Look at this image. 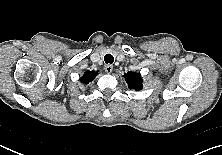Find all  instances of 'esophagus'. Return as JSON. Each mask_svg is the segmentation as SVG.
Segmentation results:
<instances>
[{"label":"esophagus","mask_w":222,"mask_h":155,"mask_svg":"<svg viewBox=\"0 0 222 155\" xmlns=\"http://www.w3.org/2000/svg\"><path fill=\"white\" fill-rule=\"evenodd\" d=\"M105 72L110 74L112 71H113V66L108 64V65H105Z\"/></svg>","instance_id":"1"}]
</instances>
